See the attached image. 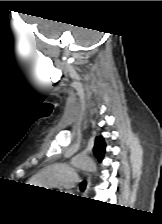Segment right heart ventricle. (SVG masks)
I'll return each mask as SVG.
<instances>
[{"mask_svg":"<svg viewBox=\"0 0 162 224\" xmlns=\"http://www.w3.org/2000/svg\"><path fill=\"white\" fill-rule=\"evenodd\" d=\"M30 184H33V185H37V186H42L43 185V181L41 180V178H33L31 181Z\"/></svg>","mask_w":162,"mask_h":224,"instance_id":"1","label":"right heart ventricle"}]
</instances>
